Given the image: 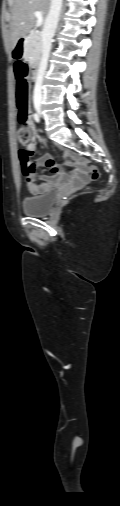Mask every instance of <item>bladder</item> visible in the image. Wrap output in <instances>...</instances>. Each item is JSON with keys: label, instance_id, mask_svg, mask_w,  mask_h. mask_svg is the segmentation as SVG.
<instances>
[{"label": "bladder", "instance_id": "obj_1", "mask_svg": "<svg viewBox=\"0 0 120 506\" xmlns=\"http://www.w3.org/2000/svg\"><path fill=\"white\" fill-rule=\"evenodd\" d=\"M57 199V192L49 190L38 196H26L22 199L23 212L29 216H43L49 213Z\"/></svg>", "mask_w": 120, "mask_h": 506}]
</instances>
